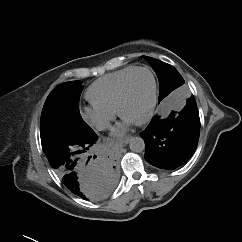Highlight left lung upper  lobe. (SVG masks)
<instances>
[{"label":"left lung upper lobe","instance_id":"obj_1","mask_svg":"<svg viewBox=\"0 0 242 242\" xmlns=\"http://www.w3.org/2000/svg\"><path fill=\"white\" fill-rule=\"evenodd\" d=\"M144 58L150 63L155 70L159 83L160 93L159 102L164 99L171 91L181 86L184 83V79L180 73L170 64L156 60L151 57L144 56Z\"/></svg>","mask_w":242,"mask_h":242}]
</instances>
